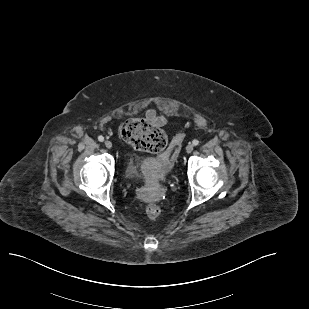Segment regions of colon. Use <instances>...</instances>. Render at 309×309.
<instances>
[{
  "label": "colon",
  "mask_w": 309,
  "mask_h": 309,
  "mask_svg": "<svg viewBox=\"0 0 309 309\" xmlns=\"http://www.w3.org/2000/svg\"><path fill=\"white\" fill-rule=\"evenodd\" d=\"M120 136L124 141L137 150L160 153L159 161L167 167L168 156L183 140V135H177L168 146L166 135L158 128L142 118H131L124 121L119 127ZM161 209L156 204L146 207V215L155 219L160 215Z\"/></svg>",
  "instance_id": "obj_1"
}]
</instances>
